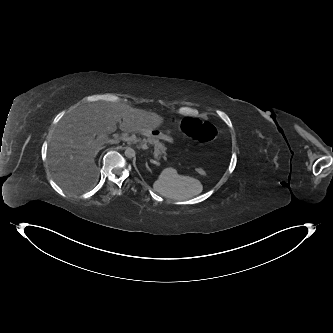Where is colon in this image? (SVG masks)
I'll return each mask as SVG.
<instances>
[{"label":"colon","mask_w":333,"mask_h":333,"mask_svg":"<svg viewBox=\"0 0 333 333\" xmlns=\"http://www.w3.org/2000/svg\"><path fill=\"white\" fill-rule=\"evenodd\" d=\"M181 129L187 136L204 143L212 142L219 136L218 129L213 124L191 117L181 121ZM197 173L205 174L202 169H197Z\"/></svg>","instance_id":"1"}]
</instances>
